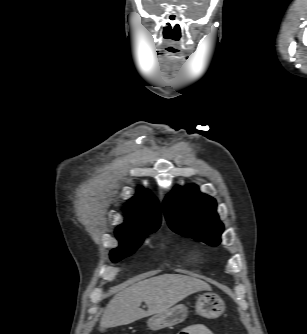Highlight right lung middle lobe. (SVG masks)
Masks as SVG:
<instances>
[{"instance_id": "dd1d6c3e", "label": "right lung middle lobe", "mask_w": 307, "mask_h": 334, "mask_svg": "<svg viewBox=\"0 0 307 334\" xmlns=\"http://www.w3.org/2000/svg\"><path fill=\"white\" fill-rule=\"evenodd\" d=\"M157 228L151 229L149 231H145L142 234L132 236V237H117L120 240V247L113 249L110 253V258L112 261L116 262L121 260L124 257L132 254L138 246L142 243L145 234H150L155 232Z\"/></svg>"}]
</instances>
